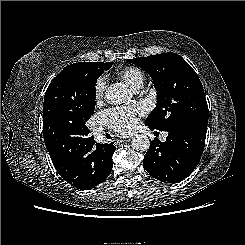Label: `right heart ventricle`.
<instances>
[{
  "label": "right heart ventricle",
  "instance_id": "right-heart-ventricle-1",
  "mask_svg": "<svg viewBox=\"0 0 245 245\" xmlns=\"http://www.w3.org/2000/svg\"><path fill=\"white\" fill-rule=\"evenodd\" d=\"M118 77L132 88H139L144 82L143 71L135 66L125 67L117 72Z\"/></svg>",
  "mask_w": 245,
  "mask_h": 245
}]
</instances>
